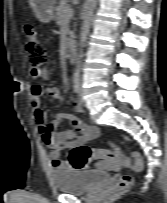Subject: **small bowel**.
Here are the masks:
<instances>
[{
    "label": "small bowel",
    "instance_id": "small-bowel-1",
    "mask_svg": "<svg viewBox=\"0 0 167 203\" xmlns=\"http://www.w3.org/2000/svg\"><path fill=\"white\" fill-rule=\"evenodd\" d=\"M30 75L33 80H47L49 79V70L43 68L38 72L31 71ZM44 96H49L50 98L57 100L60 98V90L56 87H43L40 84L34 83L31 87V105L42 140L49 149L51 164L57 169L70 168L69 163L60 158L61 151L78 145H84L85 143L96 139L100 134L99 129L96 126H88L79 118L65 113H57L47 122L45 120V112L42 108V98ZM75 109L82 112L83 105H81L80 102H76ZM65 119L70 121L73 128L79 134H76V132L71 129L61 131L55 130ZM92 158L101 159L96 163V168L99 170L117 171L122 166L107 156L95 155Z\"/></svg>",
    "mask_w": 167,
    "mask_h": 203
}]
</instances>
